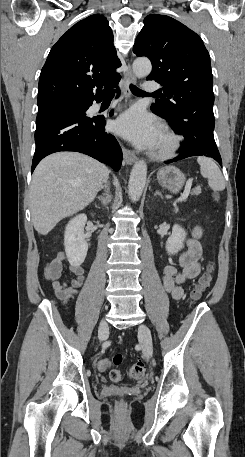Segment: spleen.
Masks as SVG:
<instances>
[{"label":"spleen","instance_id":"spleen-1","mask_svg":"<svg viewBox=\"0 0 245 457\" xmlns=\"http://www.w3.org/2000/svg\"><path fill=\"white\" fill-rule=\"evenodd\" d=\"M198 164H200V172L205 178H209L208 184L212 190H224L225 180L223 174L214 162L213 158L208 156H198Z\"/></svg>","mask_w":245,"mask_h":457}]
</instances>
